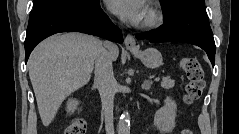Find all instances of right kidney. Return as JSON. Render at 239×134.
Segmentation results:
<instances>
[{
    "label": "right kidney",
    "instance_id": "ca27d5eb",
    "mask_svg": "<svg viewBox=\"0 0 239 134\" xmlns=\"http://www.w3.org/2000/svg\"><path fill=\"white\" fill-rule=\"evenodd\" d=\"M79 102L76 99H69L67 102V112L72 114L78 108Z\"/></svg>",
    "mask_w": 239,
    "mask_h": 134
}]
</instances>
